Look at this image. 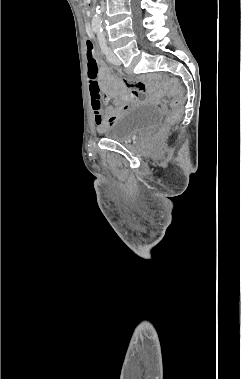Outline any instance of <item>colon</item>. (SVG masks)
Instances as JSON below:
<instances>
[{
	"label": "colon",
	"mask_w": 241,
	"mask_h": 379,
	"mask_svg": "<svg viewBox=\"0 0 241 379\" xmlns=\"http://www.w3.org/2000/svg\"><path fill=\"white\" fill-rule=\"evenodd\" d=\"M86 56H87L88 78H89L88 88L99 89L98 82H96L99 66H98L96 56H95L94 46L91 41H87ZM182 105H183V100L181 98L174 99L170 103L172 111L168 114L165 124L160 131L161 133L165 132L170 125H172L179 119V117L182 114ZM158 107L160 110H165L167 106L165 103H160Z\"/></svg>",
	"instance_id": "colon-1"
}]
</instances>
